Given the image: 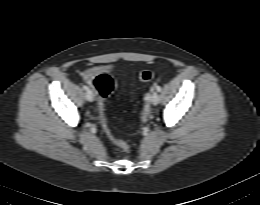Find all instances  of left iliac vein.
I'll list each match as a JSON object with an SVG mask.
<instances>
[{
    "instance_id": "left-iliac-vein-1",
    "label": "left iliac vein",
    "mask_w": 260,
    "mask_h": 205,
    "mask_svg": "<svg viewBox=\"0 0 260 205\" xmlns=\"http://www.w3.org/2000/svg\"><path fill=\"white\" fill-rule=\"evenodd\" d=\"M159 101H160L159 94L156 91L152 92V94L150 96V103L152 105H157L159 103Z\"/></svg>"
}]
</instances>
